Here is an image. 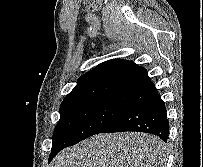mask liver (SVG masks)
<instances>
[{
    "label": "liver",
    "instance_id": "obj_1",
    "mask_svg": "<svg viewBox=\"0 0 203 167\" xmlns=\"http://www.w3.org/2000/svg\"><path fill=\"white\" fill-rule=\"evenodd\" d=\"M166 150L146 133L98 134L61 151L50 167H166Z\"/></svg>",
    "mask_w": 203,
    "mask_h": 167
}]
</instances>
